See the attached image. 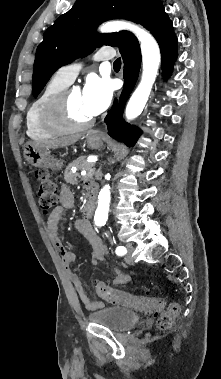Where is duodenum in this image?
<instances>
[{"instance_id": "1", "label": "duodenum", "mask_w": 221, "mask_h": 379, "mask_svg": "<svg viewBox=\"0 0 221 379\" xmlns=\"http://www.w3.org/2000/svg\"><path fill=\"white\" fill-rule=\"evenodd\" d=\"M87 194H88V201L85 206L84 214L86 217L90 218L96 208V197H97V187L93 183H89L87 185Z\"/></svg>"}]
</instances>
